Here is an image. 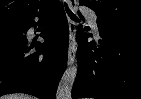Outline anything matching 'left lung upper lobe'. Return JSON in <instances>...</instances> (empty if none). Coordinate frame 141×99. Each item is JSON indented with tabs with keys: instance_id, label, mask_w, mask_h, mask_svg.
Returning <instances> with one entry per match:
<instances>
[{
	"instance_id": "1",
	"label": "left lung upper lobe",
	"mask_w": 141,
	"mask_h": 99,
	"mask_svg": "<svg viewBox=\"0 0 141 99\" xmlns=\"http://www.w3.org/2000/svg\"><path fill=\"white\" fill-rule=\"evenodd\" d=\"M97 14V20L117 26L141 27L139 0H80Z\"/></svg>"
}]
</instances>
